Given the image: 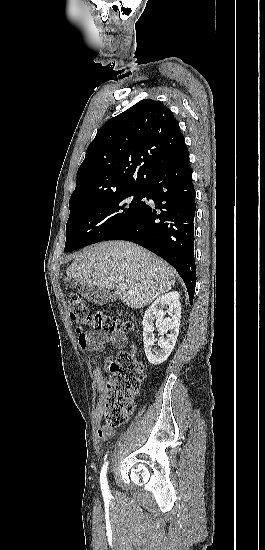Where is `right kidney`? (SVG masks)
Wrapping results in <instances>:
<instances>
[{
  "mask_svg": "<svg viewBox=\"0 0 265 550\" xmlns=\"http://www.w3.org/2000/svg\"><path fill=\"white\" fill-rule=\"evenodd\" d=\"M166 308V310H164ZM168 314L169 317L164 316ZM181 318L180 295L177 291L166 293L156 299L144 314L143 342L145 355L153 365H159L167 360L177 341ZM156 325L160 338L158 340L159 350L153 346L156 342L154 337L153 322ZM170 332L167 334V332ZM164 334H167L164 338Z\"/></svg>",
  "mask_w": 265,
  "mask_h": 550,
  "instance_id": "1",
  "label": "right kidney"
}]
</instances>
